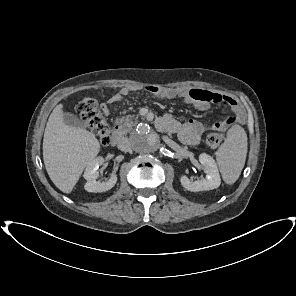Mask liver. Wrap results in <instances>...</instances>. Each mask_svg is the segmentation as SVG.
Returning a JSON list of instances; mask_svg holds the SVG:
<instances>
[{
  "label": "liver",
  "instance_id": "6515ba94",
  "mask_svg": "<svg viewBox=\"0 0 296 296\" xmlns=\"http://www.w3.org/2000/svg\"><path fill=\"white\" fill-rule=\"evenodd\" d=\"M63 115V104H58L49 116L43 138V160L55 186L70 193L85 167L98 155L100 143L92 132L67 125Z\"/></svg>",
  "mask_w": 296,
  "mask_h": 296
}]
</instances>
